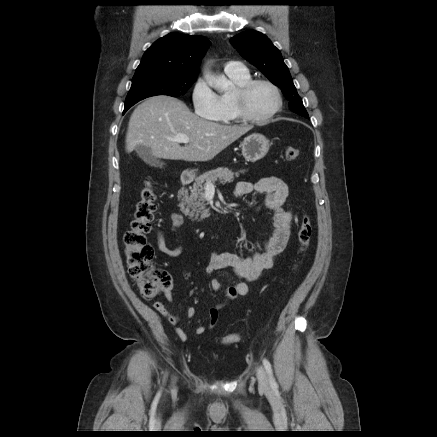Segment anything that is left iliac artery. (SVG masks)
<instances>
[{"label": "left iliac artery", "mask_w": 437, "mask_h": 437, "mask_svg": "<svg viewBox=\"0 0 437 437\" xmlns=\"http://www.w3.org/2000/svg\"><path fill=\"white\" fill-rule=\"evenodd\" d=\"M263 365H264V367H265V369H266V371L268 373L271 387L273 389H276L277 388V383H276V381H275V379L273 377V372H272V367H271L270 362L267 359L264 358L263 359Z\"/></svg>", "instance_id": "1"}]
</instances>
